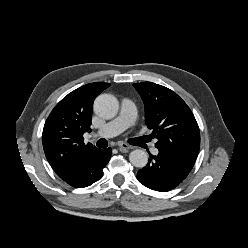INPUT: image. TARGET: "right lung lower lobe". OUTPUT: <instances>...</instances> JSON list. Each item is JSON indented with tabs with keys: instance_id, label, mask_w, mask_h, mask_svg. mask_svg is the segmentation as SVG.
Masks as SVG:
<instances>
[{
	"instance_id": "right-lung-lower-lobe-1",
	"label": "right lung lower lobe",
	"mask_w": 248,
	"mask_h": 248,
	"mask_svg": "<svg viewBox=\"0 0 248 248\" xmlns=\"http://www.w3.org/2000/svg\"><path fill=\"white\" fill-rule=\"evenodd\" d=\"M111 153V148L93 149L82 158L70 173L61 179L75 188H83L93 184L102 178L103 168L109 162Z\"/></svg>"
}]
</instances>
